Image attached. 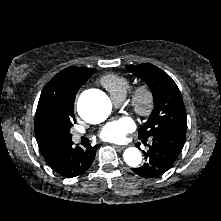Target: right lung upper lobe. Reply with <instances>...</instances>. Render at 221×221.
<instances>
[{"label":"right lung upper lobe","mask_w":221,"mask_h":221,"mask_svg":"<svg viewBox=\"0 0 221 221\" xmlns=\"http://www.w3.org/2000/svg\"><path fill=\"white\" fill-rule=\"evenodd\" d=\"M95 69L68 67L56 74L44 87L35 115V136L42 154L48 153L63 139L51 126L50 119L65 114L74 117V100L79 88Z\"/></svg>","instance_id":"obj_1"}]
</instances>
